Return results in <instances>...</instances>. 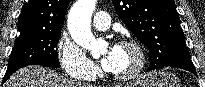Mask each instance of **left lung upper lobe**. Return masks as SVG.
<instances>
[{
	"mask_svg": "<svg viewBox=\"0 0 205 87\" xmlns=\"http://www.w3.org/2000/svg\"><path fill=\"white\" fill-rule=\"evenodd\" d=\"M120 19L148 49L149 70L190 56L174 0H112Z\"/></svg>",
	"mask_w": 205,
	"mask_h": 87,
	"instance_id": "left-lung-upper-lobe-1",
	"label": "left lung upper lobe"
}]
</instances>
